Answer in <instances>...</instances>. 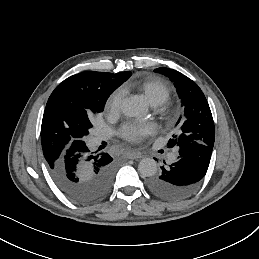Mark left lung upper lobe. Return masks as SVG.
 <instances>
[{
    "instance_id": "obj_1",
    "label": "left lung upper lobe",
    "mask_w": 259,
    "mask_h": 259,
    "mask_svg": "<svg viewBox=\"0 0 259 259\" xmlns=\"http://www.w3.org/2000/svg\"><path fill=\"white\" fill-rule=\"evenodd\" d=\"M155 72L164 74L174 82L177 93L184 105L185 121L178 134L168 141V147L180 148L191 142L214 146L215 128L210 107L199 86L182 73L160 67ZM180 123V119L177 124Z\"/></svg>"
}]
</instances>
